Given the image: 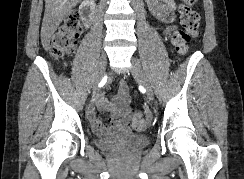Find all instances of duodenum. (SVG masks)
Wrapping results in <instances>:
<instances>
[{"label":"duodenum","instance_id":"1","mask_svg":"<svg viewBox=\"0 0 244 179\" xmlns=\"http://www.w3.org/2000/svg\"><path fill=\"white\" fill-rule=\"evenodd\" d=\"M95 4L96 2L93 0H84L80 7L81 17L89 23H91L93 20Z\"/></svg>","mask_w":244,"mask_h":179}]
</instances>
